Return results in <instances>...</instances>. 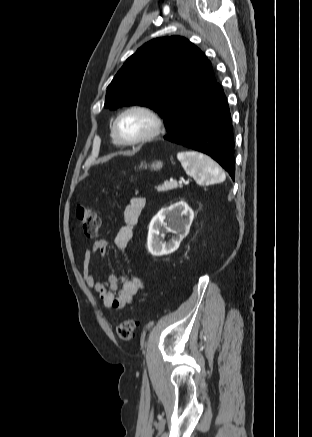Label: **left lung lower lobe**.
Here are the masks:
<instances>
[{"label": "left lung lower lobe", "instance_id": "0a47b994", "mask_svg": "<svg viewBox=\"0 0 312 437\" xmlns=\"http://www.w3.org/2000/svg\"><path fill=\"white\" fill-rule=\"evenodd\" d=\"M164 139L211 156L234 179L235 159L231 116L222 87L215 85L189 110Z\"/></svg>", "mask_w": 312, "mask_h": 437}]
</instances>
